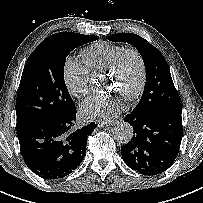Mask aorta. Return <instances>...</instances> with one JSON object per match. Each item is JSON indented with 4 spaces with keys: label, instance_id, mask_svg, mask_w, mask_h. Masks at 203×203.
Instances as JSON below:
<instances>
[{
    "label": "aorta",
    "instance_id": "obj_1",
    "mask_svg": "<svg viewBox=\"0 0 203 203\" xmlns=\"http://www.w3.org/2000/svg\"><path fill=\"white\" fill-rule=\"evenodd\" d=\"M114 138L123 144L131 141L133 137V127L127 122H118L113 129Z\"/></svg>",
    "mask_w": 203,
    "mask_h": 203
}]
</instances>
